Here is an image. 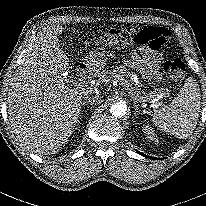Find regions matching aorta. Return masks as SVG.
I'll return each instance as SVG.
<instances>
[{"label": "aorta", "instance_id": "obj_1", "mask_svg": "<svg viewBox=\"0 0 206 206\" xmlns=\"http://www.w3.org/2000/svg\"><path fill=\"white\" fill-rule=\"evenodd\" d=\"M127 107L124 103L118 102L111 106L110 113L115 117H123L126 114Z\"/></svg>", "mask_w": 206, "mask_h": 206}]
</instances>
